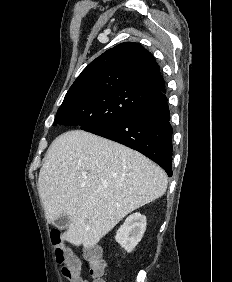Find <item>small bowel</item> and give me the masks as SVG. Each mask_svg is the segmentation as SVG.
I'll return each instance as SVG.
<instances>
[{"instance_id": "obj_1", "label": "small bowel", "mask_w": 232, "mask_h": 282, "mask_svg": "<svg viewBox=\"0 0 232 282\" xmlns=\"http://www.w3.org/2000/svg\"><path fill=\"white\" fill-rule=\"evenodd\" d=\"M74 255V254H73ZM75 256V255H74ZM76 257V256H75ZM76 258H78V257H76ZM73 282H88V281H86V280H84L83 278H82V276H81V278H79V279H77V281H73Z\"/></svg>"}]
</instances>
